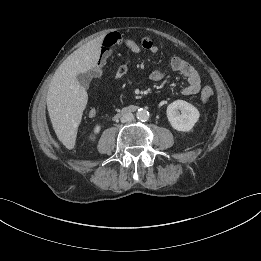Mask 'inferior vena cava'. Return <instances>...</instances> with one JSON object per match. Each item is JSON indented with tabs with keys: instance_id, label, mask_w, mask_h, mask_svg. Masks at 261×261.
I'll list each match as a JSON object with an SVG mask.
<instances>
[{
	"instance_id": "1",
	"label": "inferior vena cava",
	"mask_w": 261,
	"mask_h": 261,
	"mask_svg": "<svg viewBox=\"0 0 261 261\" xmlns=\"http://www.w3.org/2000/svg\"><path fill=\"white\" fill-rule=\"evenodd\" d=\"M133 119H134V115H133L131 112L123 113V114L121 115V118H120V120H121L122 123L130 122V121H132Z\"/></svg>"
}]
</instances>
